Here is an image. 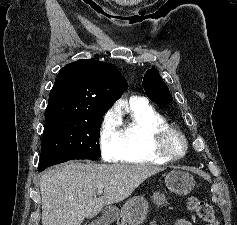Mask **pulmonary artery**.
I'll return each mask as SVG.
<instances>
[{
  "mask_svg": "<svg viewBox=\"0 0 237 225\" xmlns=\"http://www.w3.org/2000/svg\"><path fill=\"white\" fill-rule=\"evenodd\" d=\"M137 99V97H132L131 99H130V101H134V100H136Z\"/></svg>",
  "mask_w": 237,
  "mask_h": 225,
  "instance_id": "e3ab8cb5",
  "label": "pulmonary artery"
}]
</instances>
